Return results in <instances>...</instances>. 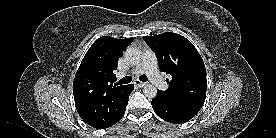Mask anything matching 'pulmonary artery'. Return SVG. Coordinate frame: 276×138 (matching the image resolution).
Masks as SVG:
<instances>
[{"instance_id": "1", "label": "pulmonary artery", "mask_w": 276, "mask_h": 138, "mask_svg": "<svg viewBox=\"0 0 276 138\" xmlns=\"http://www.w3.org/2000/svg\"><path fill=\"white\" fill-rule=\"evenodd\" d=\"M133 74H146L150 81L159 89L165 90L167 82L158 71V62L155 53L146 48L144 50L141 62L132 71Z\"/></svg>"}]
</instances>
